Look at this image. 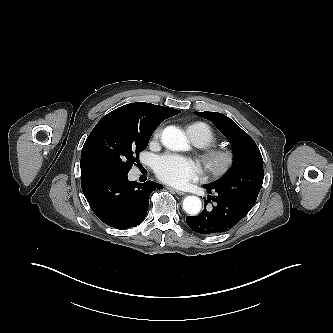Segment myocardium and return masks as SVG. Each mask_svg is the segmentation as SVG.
Returning a JSON list of instances; mask_svg holds the SVG:
<instances>
[{
  "label": "myocardium",
  "instance_id": "myocardium-1",
  "mask_svg": "<svg viewBox=\"0 0 333 333\" xmlns=\"http://www.w3.org/2000/svg\"><path fill=\"white\" fill-rule=\"evenodd\" d=\"M235 162V152L227 148H211L202 155L205 171L215 178L226 175L233 168Z\"/></svg>",
  "mask_w": 333,
  "mask_h": 333
}]
</instances>
